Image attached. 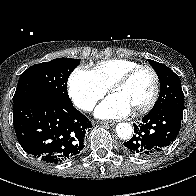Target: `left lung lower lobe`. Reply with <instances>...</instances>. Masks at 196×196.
Wrapping results in <instances>:
<instances>
[{"mask_svg": "<svg viewBox=\"0 0 196 196\" xmlns=\"http://www.w3.org/2000/svg\"><path fill=\"white\" fill-rule=\"evenodd\" d=\"M183 112L173 109L150 111L138 125L124 151L137 157H152L173 143L181 128Z\"/></svg>", "mask_w": 196, "mask_h": 196, "instance_id": "0a47b994", "label": "left lung lower lobe"}]
</instances>
